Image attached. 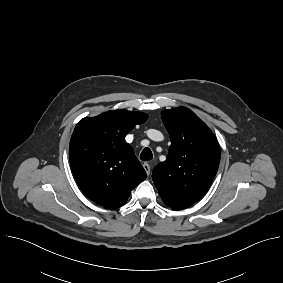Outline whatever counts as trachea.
Returning a JSON list of instances; mask_svg holds the SVG:
<instances>
[{
    "label": "trachea",
    "instance_id": "1",
    "mask_svg": "<svg viewBox=\"0 0 283 283\" xmlns=\"http://www.w3.org/2000/svg\"><path fill=\"white\" fill-rule=\"evenodd\" d=\"M152 158H153V154L149 148H145L140 154V159L143 161H149Z\"/></svg>",
    "mask_w": 283,
    "mask_h": 283
}]
</instances>
